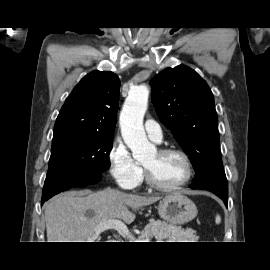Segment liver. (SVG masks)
Masks as SVG:
<instances>
[{
	"mask_svg": "<svg viewBox=\"0 0 270 270\" xmlns=\"http://www.w3.org/2000/svg\"><path fill=\"white\" fill-rule=\"evenodd\" d=\"M159 199L160 197L128 194L114 189L59 194L46 204L47 240L97 242L95 240H98L99 233L95 229L100 223L117 219L130 224L136 218V210Z\"/></svg>",
	"mask_w": 270,
	"mask_h": 270,
	"instance_id": "1",
	"label": "liver"
}]
</instances>
